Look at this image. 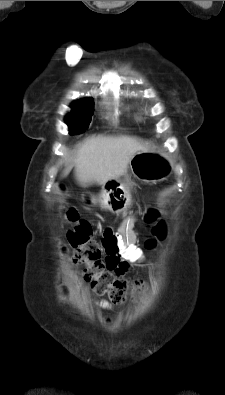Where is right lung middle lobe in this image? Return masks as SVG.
<instances>
[{"label": "right lung middle lobe", "instance_id": "right-lung-middle-lobe-1", "mask_svg": "<svg viewBox=\"0 0 225 395\" xmlns=\"http://www.w3.org/2000/svg\"><path fill=\"white\" fill-rule=\"evenodd\" d=\"M93 104L91 98L72 104V111L65 118L71 135L82 133L88 128L93 115Z\"/></svg>", "mask_w": 225, "mask_h": 395}]
</instances>
